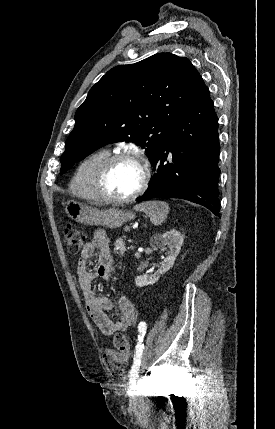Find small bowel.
<instances>
[{
  "instance_id": "1",
  "label": "small bowel",
  "mask_w": 275,
  "mask_h": 429,
  "mask_svg": "<svg viewBox=\"0 0 275 429\" xmlns=\"http://www.w3.org/2000/svg\"><path fill=\"white\" fill-rule=\"evenodd\" d=\"M97 252L98 266L90 271L87 261ZM115 272L113 259L108 247V238L103 230H96L92 242L86 243L77 262L78 282L85 300L88 314L104 335L125 331L136 321V308L127 297L118 299V312L111 313L114 302L107 296L97 295L92 287L93 280L99 276L109 282Z\"/></svg>"
}]
</instances>
